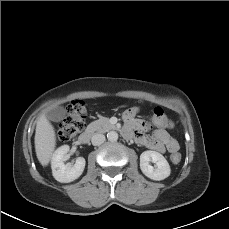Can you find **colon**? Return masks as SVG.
Instances as JSON below:
<instances>
[{"mask_svg": "<svg viewBox=\"0 0 229 229\" xmlns=\"http://www.w3.org/2000/svg\"><path fill=\"white\" fill-rule=\"evenodd\" d=\"M67 117L58 126V137L63 142H69L84 130L87 109L84 101L74 100L67 108ZM171 125V121L168 120ZM168 150L171 152V160L177 164L181 161V154L178 152V145L170 143Z\"/></svg>", "mask_w": 229, "mask_h": 229, "instance_id": "obj_1", "label": "colon"}]
</instances>
